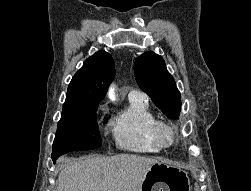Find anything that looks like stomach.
I'll list each match as a JSON object with an SVG mask.
<instances>
[{"mask_svg":"<svg viewBox=\"0 0 251 191\" xmlns=\"http://www.w3.org/2000/svg\"><path fill=\"white\" fill-rule=\"evenodd\" d=\"M190 191L189 177L186 171L168 165L163 161H157L145 175V179L139 191Z\"/></svg>","mask_w":251,"mask_h":191,"instance_id":"stomach-1","label":"stomach"}]
</instances>
